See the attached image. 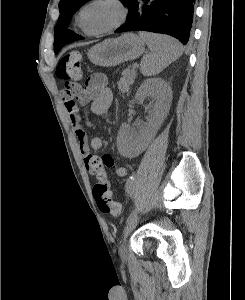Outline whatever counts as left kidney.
Listing matches in <instances>:
<instances>
[{
	"label": "left kidney",
	"instance_id": "5707ae66",
	"mask_svg": "<svg viewBox=\"0 0 245 300\" xmlns=\"http://www.w3.org/2000/svg\"><path fill=\"white\" fill-rule=\"evenodd\" d=\"M137 102L143 104L151 99L147 106L149 110V123L138 131L122 125L118 135V148L123 155H134L155 135L165 119L172 100L170 86L161 78L146 79L139 87L136 96Z\"/></svg>",
	"mask_w": 245,
	"mask_h": 300
}]
</instances>
